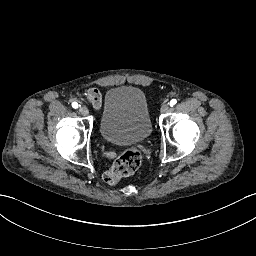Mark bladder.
I'll use <instances>...</instances> for the list:
<instances>
[{
    "label": "bladder",
    "mask_w": 256,
    "mask_h": 256,
    "mask_svg": "<svg viewBox=\"0 0 256 256\" xmlns=\"http://www.w3.org/2000/svg\"><path fill=\"white\" fill-rule=\"evenodd\" d=\"M151 133L148 102L143 92L131 86H114L104 98L99 124L101 138L128 145L146 141Z\"/></svg>",
    "instance_id": "obj_1"
}]
</instances>
